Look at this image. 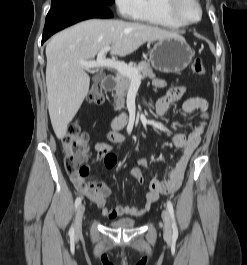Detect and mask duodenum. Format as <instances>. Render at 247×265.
<instances>
[{
  "instance_id": "duodenum-1",
  "label": "duodenum",
  "mask_w": 247,
  "mask_h": 265,
  "mask_svg": "<svg viewBox=\"0 0 247 265\" xmlns=\"http://www.w3.org/2000/svg\"><path fill=\"white\" fill-rule=\"evenodd\" d=\"M116 79L113 75H106L102 81V87L105 90H111L115 86ZM126 125V120L122 116H118L113 119L112 121V127L115 130H120Z\"/></svg>"
}]
</instances>
